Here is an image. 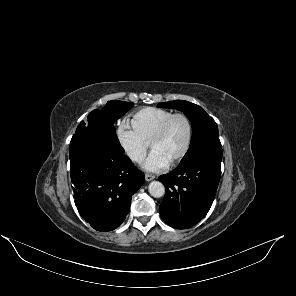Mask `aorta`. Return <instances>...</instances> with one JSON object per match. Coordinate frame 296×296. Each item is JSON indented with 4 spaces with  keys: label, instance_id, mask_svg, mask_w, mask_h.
<instances>
[{
    "label": "aorta",
    "instance_id": "1",
    "mask_svg": "<svg viewBox=\"0 0 296 296\" xmlns=\"http://www.w3.org/2000/svg\"><path fill=\"white\" fill-rule=\"evenodd\" d=\"M149 193L151 196L155 198H160L165 193V187L164 185L159 181H153L149 184L148 187Z\"/></svg>",
    "mask_w": 296,
    "mask_h": 296
}]
</instances>
